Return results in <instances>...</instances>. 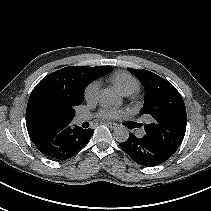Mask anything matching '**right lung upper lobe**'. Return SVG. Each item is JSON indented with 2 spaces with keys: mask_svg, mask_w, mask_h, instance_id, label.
<instances>
[{
  "mask_svg": "<svg viewBox=\"0 0 211 211\" xmlns=\"http://www.w3.org/2000/svg\"><path fill=\"white\" fill-rule=\"evenodd\" d=\"M111 66H69L44 77L33 89L26 109V126L31 138L52 127L47 113L52 108L80 102L85 87Z\"/></svg>",
  "mask_w": 211,
  "mask_h": 211,
  "instance_id": "obj_1",
  "label": "right lung upper lobe"
}]
</instances>
